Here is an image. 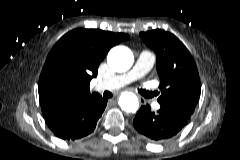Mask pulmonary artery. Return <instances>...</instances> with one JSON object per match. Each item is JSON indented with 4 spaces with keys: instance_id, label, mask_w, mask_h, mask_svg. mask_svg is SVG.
I'll return each mask as SVG.
<instances>
[{
    "instance_id": "1",
    "label": "pulmonary artery",
    "mask_w": 240,
    "mask_h": 160,
    "mask_svg": "<svg viewBox=\"0 0 240 160\" xmlns=\"http://www.w3.org/2000/svg\"><path fill=\"white\" fill-rule=\"evenodd\" d=\"M155 60L156 57L152 52L142 50L137 57L135 65L130 71L111 77L110 79L104 81L103 85L111 88H119L136 80L142 79L151 70Z\"/></svg>"
}]
</instances>
